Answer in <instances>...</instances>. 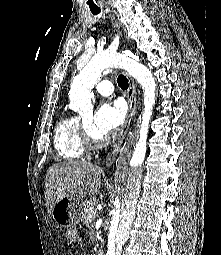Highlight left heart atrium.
<instances>
[{
    "label": "left heart atrium",
    "mask_w": 221,
    "mask_h": 255,
    "mask_svg": "<svg viewBox=\"0 0 221 255\" xmlns=\"http://www.w3.org/2000/svg\"><path fill=\"white\" fill-rule=\"evenodd\" d=\"M125 110L120 102L103 103L96 111L93 128L101 136L116 130L123 122Z\"/></svg>",
    "instance_id": "left-heart-atrium-1"
}]
</instances>
